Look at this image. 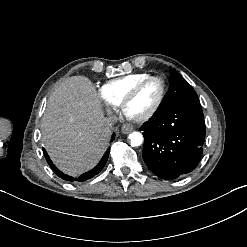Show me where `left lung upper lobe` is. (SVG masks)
I'll return each mask as SVG.
<instances>
[{
	"mask_svg": "<svg viewBox=\"0 0 247 247\" xmlns=\"http://www.w3.org/2000/svg\"><path fill=\"white\" fill-rule=\"evenodd\" d=\"M186 102L200 103L193 87L175 69H172L170 72L169 91L166 93L156 113L172 105Z\"/></svg>",
	"mask_w": 247,
	"mask_h": 247,
	"instance_id": "1",
	"label": "left lung upper lobe"
}]
</instances>
